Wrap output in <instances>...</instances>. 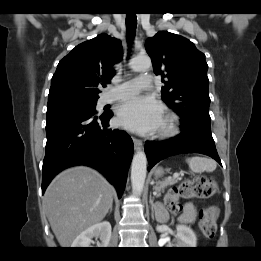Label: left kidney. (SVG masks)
<instances>
[{
  "instance_id": "obj_1",
  "label": "left kidney",
  "mask_w": 261,
  "mask_h": 261,
  "mask_svg": "<svg viewBox=\"0 0 261 261\" xmlns=\"http://www.w3.org/2000/svg\"><path fill=\"white\" fill-rule=\"evenodd\" d=\"M177 234L175 239V246L179 248H194L197 245V237L194 231L183 224L176 226Z\"/></svg>"
}]
</instances>
